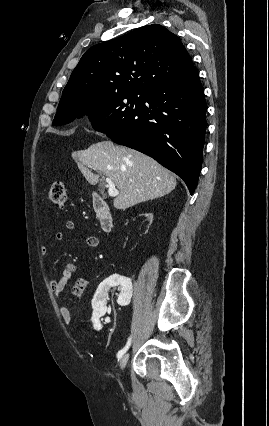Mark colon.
Masks as SVG:
<instances>
[{
    "label": "colon",
    "mask_w": 269,
    "mask_h": 426,
    "mask_svg": "<svg viewBox=\"0 0 269 426\" xmlns=\"http://www.w3.org/2000/svg\"><path fill=\"white\" fill-rule=\"evenodd\" d=\"M49 202L57 207H64L66 203V189L63 182H54L49 190Z\"/></svg>",
    "instance_id": "1"
}]
</instances>
